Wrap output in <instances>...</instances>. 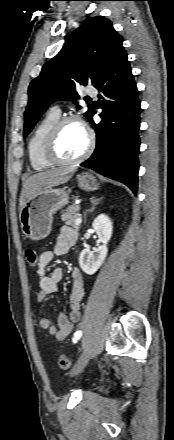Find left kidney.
I'll return each instance as SVG.
<instances>
[{
  "instance_id": "left-kidney-1",
  "label": "left kidney",
  "mask_w": 174,
  "mask_h": 440,
  "mask_svg": "<svg viewBox=\"0 0 174 440\" xmlns=\"http://www.w3.org/2000/svg\"><path fill=\"white\" fill-rule=\"evenodd\" d=\"M92 227L98 235L102 245L95 251L84 249L80 253L79 265L88 275H93L103 264L108 252L107 244L111 239L113 231L112 221L105 214L98 215L94 219Z\"/></svg>"
}]
</instances>
